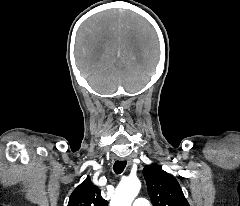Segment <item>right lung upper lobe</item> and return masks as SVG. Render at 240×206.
Segmentation results:
<instances>
[{
	"mask_svg": "<svg viewBox=\"0 0 240 206\" xmlns=\"http://www.w3.org/2000/svg\"><path fill=\"white\" fill-rule=\"evenodd\" d=\"M108 202L101 196L98 187L85 179L71 194L68 206H107Z\"/></svg>",
	"mask_w": 240,
	"mask_h": 206,
	"instance_id": "1",
	"label": "right lung upper lobe"
}]
</instances>
